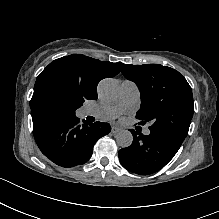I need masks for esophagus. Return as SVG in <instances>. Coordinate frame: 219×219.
<instances>
[{
    "mask_svg": "<svg viewBox=\"0 0 219 219\" xmlns=\"http://www.w3.org/2000/svg\"><path fill=\"white\" fill-rule=\"evenodd\" d=\"M120 131H121V129L118 128V127H116V126H112V128H111V132H112L113 134H116V133H118V132H120Z\"/></svg>",
    "mask_w": 219,
    "mask_h": 219,
    "instance_id": "1",
    "label": "esophagus"
}]
</instances>
